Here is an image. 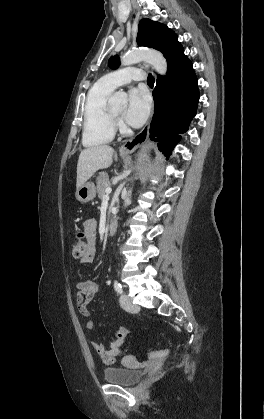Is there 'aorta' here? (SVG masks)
<instances>
[{
    "label": "aorta",
    "instance_id": "aorta-1",
    "mask_svg": "<svg viewBox=\"0 0 264 419\" xmlns=\"http://www.w3.org/2000/svg\"><path fill=\"white\" fill-rule=\"evenodd\" d=\"M140 61H146L153 66V68L161 75H165L167 72V62L164 56L155 50L146 49V50H133L121 57V64L124 66L132 65ZM111 105H122L127 102V94L125 92L119 91L114 93V95L109 100ZM131 191L128 192V196L124 201V206L130 201Z\"/></svg>",
    "mask_w": 264,
    "mask_h": 419
}]
</instances>
